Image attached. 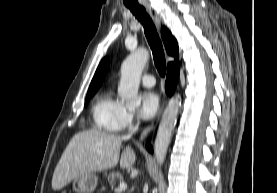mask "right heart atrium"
I'll return each instance as SVG.
<instances>
[{"instance_id":"d8ad5b80","label":"right heart atrium","mask_w":277,"mask_h":193,"mask_svg":"<svg viewBox=\"0 0 277 193\" xmlns=\"http://www.w3.org/2000/svg\"><path fill=\"white\" fill-rule=\"evenodd\" d=\"M137 121V117L133 111L128 109H123L121 115V129H127L132 127Z\"/></svg>"}]
</instances>
